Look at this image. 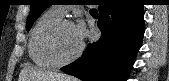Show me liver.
I'll return each instance as SVG.
<instances>
[{
  "label": "liver",
  "instance_id": "6515ba94",
  "mask_svg": "<svg viewBox=\"0 0 169 81\" xmlns=\"http://www.w3.org/2000/svg\"><path fill=\"white\" fill-rule=\"evenodd\" d=\"M23 81H76L74 77L66 74L42 71L37 68L30 67L29 65L24 67Z\"/></svg>",
  "mask_w": 169,
  "mask_h": 81
}]
</instances>
